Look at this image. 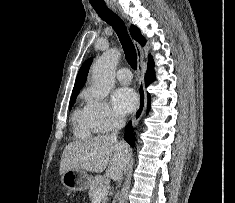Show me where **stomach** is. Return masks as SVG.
Masks as SVG:
<instances>
[{
	"mask_svg": "<svg viewBox=\"0 0 235 203\" xmlns=\"http://www.w3.org/2000/svg\"><path fill=\"white\" fill-rule=\"evenodd\" d=\"M61 183L71 191H84L91 186L92 176L81 169H68L62 174Z\"/></svg>",
	"mask_w": 235,
	"mask_h": 203,
	"instance_id": "1",
	"label": "stomach"
}]
</instances>
